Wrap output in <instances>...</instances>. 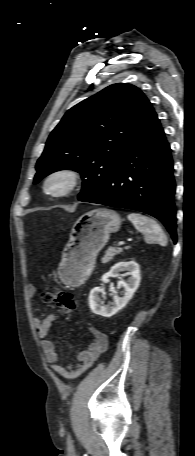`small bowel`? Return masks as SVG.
Returning a JSON list of instances; mask_svg holds the SVG:
<instances>
[{
    "mask_svg": "<svg viewBox=\"0 0 195 456\" xmlns=\"http://www.w3.org/2000/svg\"><path fill=\"white\" fill-rule=\"evenodd\" d=\"M30 299H35L37 289L30 285L28 288ZM59 318L57 314H49L43 319H34L37 334L41 340V348L48 363L52 368L66 379H73L81 375L98 359V357L105 352L108 346L107 336L91 326L92 341L87 350L80 351L76 357L75 363L63 365L61 359L56 351L54 343L48 338V334L53 323Z\"/></svg>",
    "mask_w": 195,
    "mask_h": 456,
    "instance_id": "obj_1",
    "label": "small bowel"
}]
</instances>
